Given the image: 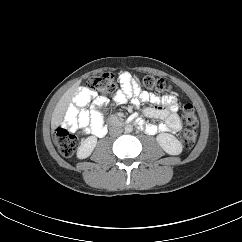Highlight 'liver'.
I'll list each match as a JSON object with an SVG mask.
<instances>
[{
	"label": "liver",
	"mask_w": 242,
	"mask_h": 242,
	"mask_svg": "<svg viewBox=\"0 0 242 242\" xmlns=\"http://www.w3.org/2000/svg\"><path fill=\"white\" fill-rule=\"evenodd\" d=\"M69 96H70V92H67L65 96L61 99V101L57 104L52 115V121H51L52 130L56 129L59 126L60 121L64 115L65 108L68 104Z\"/></svg>",
	"instance_id": "liver-1"
}]
</instances>
